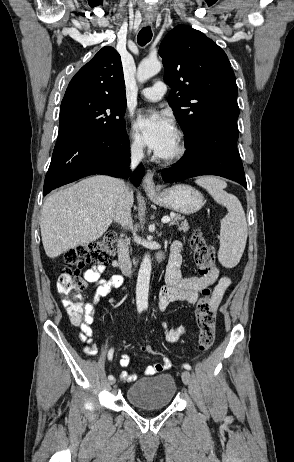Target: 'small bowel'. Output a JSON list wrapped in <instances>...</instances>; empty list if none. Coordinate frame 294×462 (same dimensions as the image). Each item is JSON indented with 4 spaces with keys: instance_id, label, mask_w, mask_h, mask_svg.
<instances>
[{
    "instance_id": "small-bowel-1",
    "label": "small bowel",
    "mask_w": 294,
    "mask_h": 462,
    "mask_svg": "<svg viewBox=\"0 0 294 462\" xmlns=\"http://www.w3.org/2000/svg\"><path fill=\"white\" fill-rule=\"evenodd\" d=\"M182 249L183 244L180 241H175L171 245L170 257L166 267L165 281L166 285L161 289L157 306L160 311L165 310L169 304L177 301H186L195 304L200 299V294L209 285L214 284L217 280L218 283L213 290V303L215 308L221 302V299L226 290L231 285V279L226 275L220 276L219 269L215 268L214 275L211 278L202 276H183L181 272L182 266ZM112 266L117 268L119 265L115 261ZM107 265H94L83 274L84 280L87 283L93 284L95 292L90 302L85 304L84 321L80 325L79 336L86 344L84 350L88 355H93L97 352V347L93 341V330L91 325L94 321L96 314V306L100 299L107 296L113 288H118L123 284V277L119 274L107 276ZM165 330L167 341L176 342L185 332L183 326L177 328H167L166 324L162 325ZM143 352H146L145 347H141ZM129 365V356L123 354L120 359V366L126 368ZM171 364L168 358H163L159 363L149 365L145 369V375H154L160 373L168 368ZM120 380L132 382L136 380V375L123 370L119 376Z\"/></svg>"
}]
</instances>
